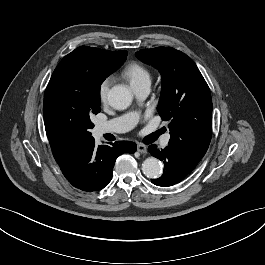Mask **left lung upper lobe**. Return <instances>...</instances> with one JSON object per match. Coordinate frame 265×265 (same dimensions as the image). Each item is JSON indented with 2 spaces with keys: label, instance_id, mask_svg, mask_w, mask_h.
I'll use <instances>...</instances> for the list:
<instances>
[{
  "label": "left lung upper lobe",
  "instance_id": "5c2ea615",
  "mask_svg": "<svg viewBox=\"0 0 265 265\" xmlns=\"http://www.w3.org/2000/svg\"><path fill=\"white\" fill-rule=\"evenodd\" d=\"M136 56L160 71L162 92L157 110L162 120L170 122L167 147L194 169L212 136V99L206 81L192 59L173 48L142 49Z\"/></svg>",
  "mask_w": 265,
  "mask_h": 265
}]
</instances>
